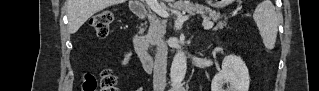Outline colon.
I'll use <instances>...</instances> for the list:
<instances>
[{
	"label": "colon",
	"instance_id": "colon-1",
	"mask_svg": "<svg viewBox=\"0 0 319 91\" xmlns=\"http://www.w3.org/2000/svg\"><path fill=\"white\" fill-rule=\"evenodd\" d=\"M113 21V15L110 12H99L90 18V27L98 36H105L109 32L110 25ZM117 80L109 72L104 71L97 79L92 75H86L83 80V91H114Z\"/></svg>",
	"mask_w": 319,
	"mask_h": 91
}]
</instances>
